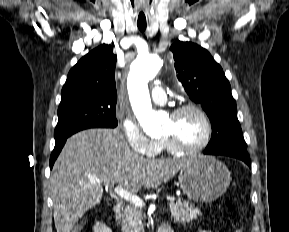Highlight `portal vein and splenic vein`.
<instances>
[{"label":"portal vein and splenic vein","mask_w":289,"mask_h":232,"mask_svg":"<svg viewBox=\"0 0 289 232\" xmlns=\"http://www.w3.org/2000/svg\"><path fill=\"white\" fill-rule=\"evenodd\" d=\"M114 193L117 194L119 197L130 201L133 205L142 208L144 206V202L142 199H140L138 196L132 194L131 192L123 189L121 186H117L114 188ZM167 200L170 202H174L175 198L174 197H167Z\"/></svg>","instance_id":"1"}]
</instances>
